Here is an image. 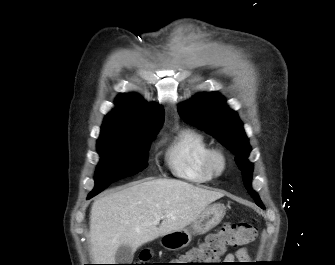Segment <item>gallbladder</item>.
Instances as JSON below:
<instances>
[{
  "instance_id": "obj_1",
  "label": "gallbladder",
  "mask_w": 335,
  "mask_h": 265,
  "mask_svg": "<svg viewBox=\"0 0 335 265\" xmlns=\"http://www.w3.org/2000/svg\"><path fill=\"white\" fill-rule=\"evenodd\" d=\"M134 257V250L131 246L121 245L116 251V264H131Z\"/></svg>"
}]
</instances>
